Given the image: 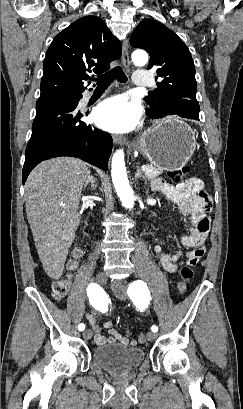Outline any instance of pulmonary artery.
Here are the masks:
<instances>
[{"label":"pulmonary artery","instance_id":"pulmonary-artery-1","mask_svg":"<svg viewBox=\"0 0 243 409\" xmlns=\"http://www.w3.org/2000/svg\"><path fill=\"white\" fill-rule=\"evenodd\" d=\"M133 83L136 86L146 87L150 85V76L148 72L143 70H137L133 75ZM90 94L86 95V99L89 98Z\"/></svg>","mask_w":243,"mask_h":409}]
</instances>
